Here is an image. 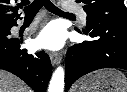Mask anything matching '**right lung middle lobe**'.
<instances>
[{"label": "right lung middle lobe", "mask_w": 127, "mask_h": 92, "mask_svg": "<svg viewBox=\"0 0 127 92\" xmlns=\"http://www.w3.org/2000/svg\"><path fill=\"white\" fill-rule=\"evenodd\" d=\"M5 27H6V26H0V30H1V29H4Z\"/></svg>", "instance_id": "right-lung-middle-lobe-1"}]
</instances>
